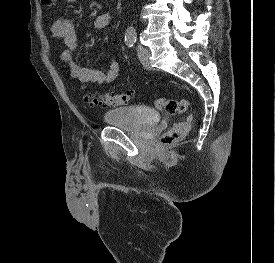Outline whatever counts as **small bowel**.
<instances>
[{
    "label": "small bowel",
    "mask_w": 275,
    "mask_h": 263,
    "mask_svg": "<svg viewBox=\"0 0 275 263\" xmlns=\"http://www.w3.org/2000/svg\"><path fill=\"white\" fill-rule=\"evenodd\" d=\"M66 1L75 2L76 0ZM111 20L112 15L110 13L98 14L94 18L93 26L95 29H105L109 27ZM51 32L54 37L60 39L66 46V49L60 55L61 62L68 67L71 78L81 83L82 88L90 84L110 83L117 78L121 66L116 60L109 63L106 72L97 68L82 66L74 61L73 52L77 48L78 38L71 19L63 18L56 20L52 24Z\"/></svg>",
    "instance_id": "obj_1"
}]
</instances>
